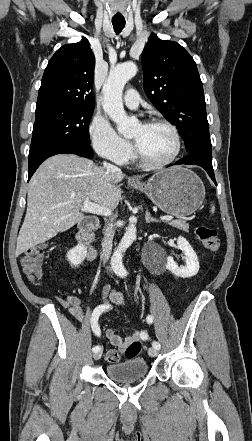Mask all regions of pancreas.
I'll return each instance as SVG.
<instances>
[{"label":"pancreas","mask_w":252,"mask_h":441,"mask_svg":"<svg viewBox=\"0 0 252 441\" xmlns=\"http://www.w3.org/2000/svg\"><path fill=\"white\" fill-rule=\"evenodd\" d=\"M168 224L184 232L189 231V225L184 220H174V221H170Z\"/></svg>","instance_id":"pancreas-1"}]
</instances>
